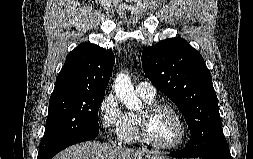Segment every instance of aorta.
I'll use <instances>...</instances> for the list:
<instances>
[{"instance_id": "obj_1", "label": "aorta", "mask_w": 253, "mask_h": 159, "mask_svg": "<svg viewBox=\"0 0 253 159\" xmlns=\"http://www.w3.org/2000/svg\"><path fill=\"white\" fill-rule=\"evenodd\" d=\"M114 90L116 96L129 110H140L142 106L141 100L136 96L133 84L129 75L121 72L117 75Z\"/></svg>"}]
</instances>
